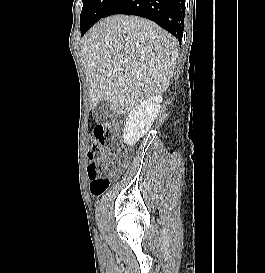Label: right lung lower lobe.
<instances>
[{"mask_svg": "<svg viewBox=\"0 0 265 273\" xmlns=\"http://www.w3.org/2000/svg\"><path fill=\"white\" fill-rule=\"evenodd\" d=\"M114 14L137 15L148 18L182 40L185 0H115L104 17Z\"/></svg>", "mask_w": 265, "mask_h": 273, "instance_id": "1", "label": "right lung lower lobe"}]
</instances>
